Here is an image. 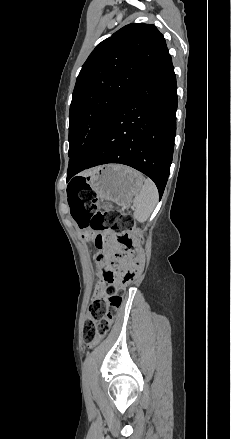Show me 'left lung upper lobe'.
<instances>
[{"label":"left lung upper lobe","instance_id":"1","mask_svg":"<svg viewBox=\"0 0 231 439\" xmlns=\"http://www.w3.org/2000/svg\"><path fill=\"white\" fill-rule=\"evenodd\" d=\"M169 55L152 24L124 26L92 51L77 77L69 114V157L94 137L127 93Z\"/></svg>","mask_w":231,"mask_h":439}]
</instances>
